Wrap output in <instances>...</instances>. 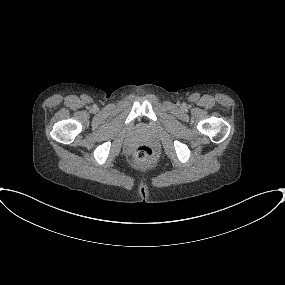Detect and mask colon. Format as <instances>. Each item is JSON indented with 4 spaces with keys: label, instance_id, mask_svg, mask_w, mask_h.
<instances>
[{
    "label": "colon",
    "instance_id": "1",
    "mask_svg": "<svg viewBox=\"0 0 285 285\" xmlns=\"http://www.w3.org/2000/svg\"><path fill=\"white\" fill-rule=\"evenodd\" d=\"M134 155L136 160L142 164H150L154 160V152L152 148L146 144L138 146Z\"/></svg>",
    "mask_w": 285,
    "mask_h": 285
}]
</instances>
